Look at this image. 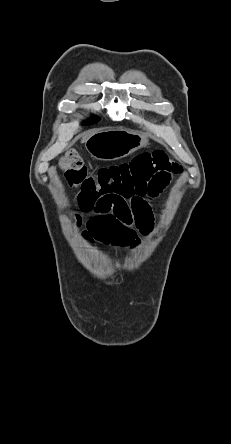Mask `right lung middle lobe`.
Masks as SVG:
<instances>
[{"instance_id": "right-lung-middle-lobe-1", "label": "right lung middle lobe", "mask_w": 231, "mask_h": 444, "mask_svg": "<svg viewBox=\"0 0 231 444\" xmlns=\"http://www.w3.org/2000/svg\"><path fill=\"white\" fill-rule=\"evenodd\" d=\"M98 121V118H94L93 120H88L86 122L83 123V125H88V124H94Z\"/></svg>"}]
</instances>
